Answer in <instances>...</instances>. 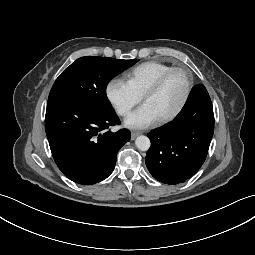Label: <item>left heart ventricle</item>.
I'll list each match as a JSON object with an SVG mask.
<instances>
[{
	"label": "left heart ventricle",
	"mask_w": 255,
	"mask_h": 255,
	"mask_svg": "<svg viewBox=\"0 0 255 255\" xmlns=\"http://www.w3.org/2000/svg\"><path fill=\"white\" fill-rule=\"evenodd\" d=\"M186 86L185 75L182 72H174L167 78L161 89L149 96L146 102L152 105L160 118L164 117L178 107L185 94Z\"/></svg>",
	"instance_id": "1"
}]
</instances>
